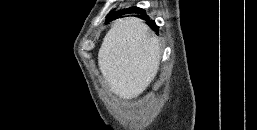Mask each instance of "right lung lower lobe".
<instances>
[{
	"label": "right lung lower lobe",
	"mask_w": 257,
	"mask_h": 130,
	"mask_svg": "<svg viewBox=\"0 0 257 130\" xmlns=\"http://www.w3.org/2000/svg\"><path fill=\"white\" fill-rule=\"evenodd\" d=\"M125 13H141V14H144V10L142 9H139V8H136V7H132V8H128V9H125L122 11V14H125ZM116 15V14H114ZM144 16V15H143ZM116 16H113L110 15L108 16V19H114ZM148 24L154 29V30H158V27L156 26L155 22L154 21H149Z\"/></svg>",
	"instance_id": "98d812e1"
}]
</instances>
